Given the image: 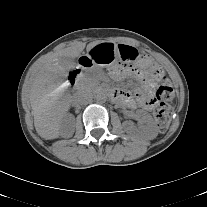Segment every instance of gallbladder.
<instances>
[{
	"mask_svg": "<svg viewBox=\"0 0 207 207\" xmlns=\"http://www.w3.org/2000/svg\"><path fill=\"white\" fill-rule=\"evenodd\" d=\"M59 64L64 68V69H69L73 65V59L71 57H60L59 58Z\"/></svg>",
	"mask_w": 207,
	"mask_h": 207,
	"instance_id": "obj_1",
	"label": "gallbladder"
}]
</instances>
